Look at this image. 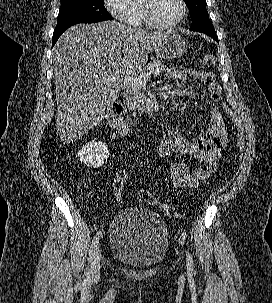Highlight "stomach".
<instances>
[{"label": "stomach", "mask_w": 272, "mask_h": 303, "mask_svg": "<svg viewBox=\"0 0 272 303\" xmlns=\"http://www.w3.org/2000/svg\"><path fill=\"white\" fill-rule=\"evenodd\" d=\"M187 47L186 42L178 33L168 32L155 49V53L161 59H174L184 55Z\"/></svg>", "instance_id": "1"}]
</instances>
